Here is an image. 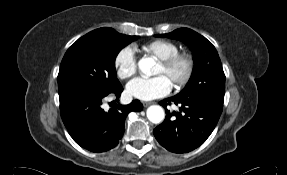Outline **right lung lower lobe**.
<instances>
[{
	"label": "right lung lower lobe",
	"mask_w": 287,
	"mask_h": 175,
	"mask_svg": "<svg viewBox=\"0 0 287 175\" xmlns=\"http://www.w3.org/2000/svg\"><path fill=\"white\" fill-rule=\"evenodd\" d=\"M122 91L123 87L109 94L73 91L59 97L63 123L78 145L99 153L119 143L124 134L127 114L131 111L139 112L143 108L139 100H134L129 105L118 104L104 111L103 100L109 95L119 98Z\"/></svg>",
	"instance_id": "right-lung-lower-lobe-1"
}]
</instances>
